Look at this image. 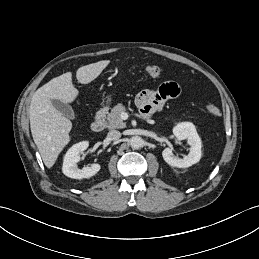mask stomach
Listing matches in <instances>:
<instances>
[{
    "label": "stomach",
    "mask_w": 259,
    "mask_h": 259,
    "mask_svg": "<svg viewBox=\"0 0 259 259\" xmlns=\"http://www.w3.org/2000/svg\"><path fill=\"white\" fill-rule=\"evenodd\" d=\"M111 96H112V95H109V96L107 97L106 102H108V103L111 102Z\"/></svg>",
    "instance_id": "1"
}]
</instances>
